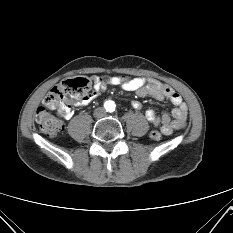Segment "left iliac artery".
<instances>
[{
    "label": "left iliac artery",
    "mask_w": 233,
    "mask_h": 233,
    "mask_svg": "<svg viewBox=\"0 0 233 233\" xmlns=\"http://www.w3.org/2000/svg\"><path fill=\"white\" fill-rule=\"evenodd\" d=\"M113 111H115V104L114 103H112L111 107H110V112H113Z\"/></svg>",
    "instance_id": "obj_1"
}]
</instances>
